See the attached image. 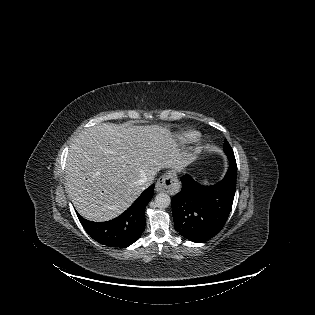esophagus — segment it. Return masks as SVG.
Wrapping results in <instances>:
<instances>
[{"instance_id": "1", "label": "esophagus", "mask_w": 315, "mask_h": 315, "mask_svg": "<svg viewBox=\"0 0 315 315\" xmlns=\"http://www.w3.org/2000/svg\"><path fill=\"white\" fill-rule=\"evenodd\" d=\"M179 189V181L176 175L172 172L166 173L161 176L155 185V190L157 192H168L170 194H175L179 191Z\"/></svg>"}]
</instances>
